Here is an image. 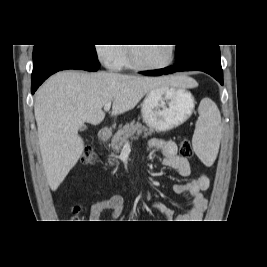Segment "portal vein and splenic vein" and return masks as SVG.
<instances>
[{"mask_svg": "<svg viewBox=\"0 0 267 267\" xmlns=\"http://www.w3.org/2000/svg\"><path fill=\"white\" fill-rule=\"evenodd\" d=\"M110 107H111V102L107 103V104L104 106V111H109V110H110Z\"/></svg>", "mask_w": 267, "mask_h": 267, "instance_id": "portal-vein-and-splenic-vein-1", "label": "portal vein and splenic vein"}]
</instances>
